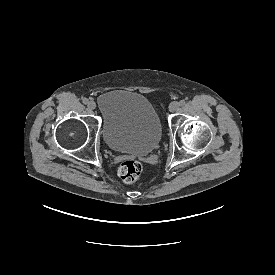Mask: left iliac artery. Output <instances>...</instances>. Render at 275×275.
I'll return each instance as SVG.
<instances>
[{
    "mask_svg": "<svg viewBox=\"0 0 275 275\" xmlns=\"http://www.w3.org/2000/svg\"><path fill=\"white\" fill-rule=\"evenodd\" d=\"M185 104V100H180L179 105L183 106Z\"/></svg>",
    "mask_w": 275,
    "mask_h": 275,
    "instance_id": "44dca946",
    "label": "left iliac artery"
}]
</instances>
